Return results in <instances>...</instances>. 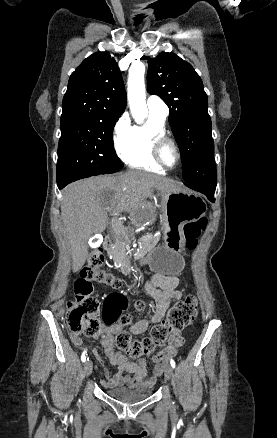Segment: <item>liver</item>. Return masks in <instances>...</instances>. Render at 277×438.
Segmentation results:
<instances>
[{"label":"liver","mask_w":277,"mask_h":438,"mask_svg":"<svg viewBox=\"0 0 277 438\" xmlns=\"http://www.w3.org/2000/svg\"><path fill=\"white\" fill-rule=\"evenodd\" d=\"M151 188L174 192L173 180L148 172L129 170L123 176H96L69 184L61 202V218L72 256L73 272L84 266L88 256V240L108 226V216L135 212L143 198H151Z\"/></svg>","instance_id":"liver-1"}]
</instances>
